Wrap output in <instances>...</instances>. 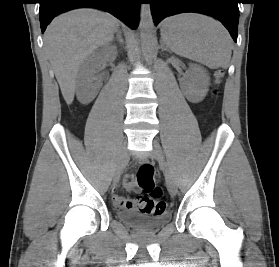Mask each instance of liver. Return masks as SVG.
<instances>
[{
	"mask_svg": "<svg viewBox=\"0 0 279 267\" xmlns=\"http://www.w3.org/2000/svg\"><path fill=\"white\" fill-rule=\"evenodd\" d=\"M119 21L95 9H76L56 17L44 35L45 50L68 105L74 100L76 78L85 58L110 42Z\"/></svg>",
	"mask_w": 279,
	"mask_h": 267,
	"instance_id": "liver-1",
	"label": "liver"
}]
</instances>
